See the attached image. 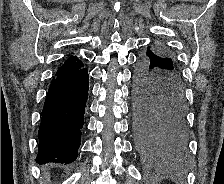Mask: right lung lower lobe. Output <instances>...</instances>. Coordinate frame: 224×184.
I'll list each match as a JSON object with an SVG mask.
<instances>
[{
  "label": "right lung lower lobe",
  "mask_w": 224,
  "mask_h": 184,
  "mask_svg": "<svg viewBox=\"0 0 224 184\" xmlns=\"http://www.w3.org/2000/svg\"><path fill=\"white\" fill-rule=\"evenodd\" d=\"M42 110L36 162L71 163L76 160L88 98V71L83 64L57 71Z\"/></svg>",
  "instance_id": "98d812e1"
}]
</instances>
